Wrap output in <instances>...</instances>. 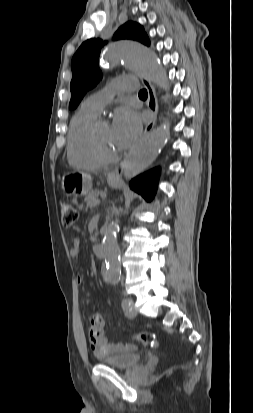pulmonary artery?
Here are the masks:
<instances>
[{"label": "pulmonary artery", "instance_id": "obj_1", "mask_svg": "<svg viewBox=\"0 0 253 413\" xmlns=\"http://www.w3.org/2000/svg\"><path fill=\"white\" fill-rule=\"evenodd\" d=\"M133 90H135V86H126L121 84L119 81L114 80L110 82L105 89L86 98L82 103V106L96 114H99L116 92Z\"/></svg>", "mask_w": 253, "mask_h": 413}]
</instances>
